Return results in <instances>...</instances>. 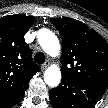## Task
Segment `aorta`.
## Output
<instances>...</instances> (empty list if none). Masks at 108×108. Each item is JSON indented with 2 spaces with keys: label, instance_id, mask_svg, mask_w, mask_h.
Masks as SVG:
<instances>
[{
  "label": "aorta",
  "instance_id": "1",
  "mask_svg": "<svg viewBox=\"0 0 108 108\" xmlns=\"http://www.w3.org/2000/svg\"><path fill=\"white\" fill-rule=\"evenodd\" d=\"M41 48L51 57L60 53V43L57 36L48 29H41L37 34ZM44 81L50 87H56L61 81V71L56 65L48 67L44 73Z\"/></svg>",
  "mask_w": 108,
  "mask_h": 108
}]
</instances>
